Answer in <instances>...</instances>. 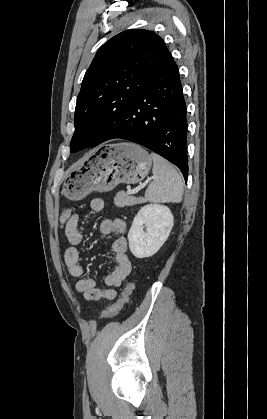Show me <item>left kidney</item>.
<instances>
[{"instance_id":"obj_1","label":"left kidney","mask_w":267,"mask_h":419,"mask_svg":"<svg viewBox=\"0 0 267 419\" xmlns=\"http://www.w3.org/2000/svg\"><path fill=\"white\" fill-rule=\"evenodd\" d=\"M173 225L174 218L167 206L144 205L135 216L128 233L131 253L136 258L154 255L169 237Z\"/></svg>"}]
</instances>
